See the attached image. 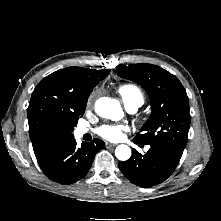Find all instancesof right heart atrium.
<instances>
[{"label":"right heart atrium","mask_w":221,"mask_h":221,"mask_svg":"<svg viewBox=\"0 0 221 221\" xmlns=\"http://www.w3.org/2000/svg\"><path fill=\"white\" fill-rule=\"evenodd\" d=\"M93 103V97H90V99L88 100V106H91Z\"/></svg>","instance_id":"1"}]
</instances>
